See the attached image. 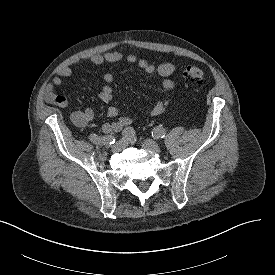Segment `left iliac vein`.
I'll use <instances>...</instances> for the list:
<instances>
[{
    "label": "left iliac vein",
    "instance_id": "1",
    "mask_svg": "<svg viewBox=\"0 0 275 275\" xmlns=\"http://www.w3.org/2000/svg\"><path fill=\"white\" fill-rule=\"evenodd\" d=\"M142 148L155 152V153H161L160 146L152 139H146L141 143Z\"/></svg>",
    "mask_w": 275,
    "mask_h": 275
}]
</instances>
